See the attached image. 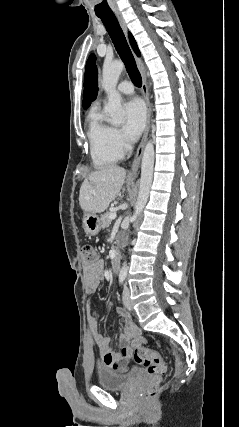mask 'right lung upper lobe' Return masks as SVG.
Masks as SVG:
<instances>
[{
	"label": "right lung upper lobe",
	"instance_id": "1",
	"mask_svg": "<svg viewBox=\"0 0 239 427\" xmlns=\"http://www.w3.org/2000/svg\"><path fill=\"white\" fill-rule=\"evenodd\" d=\"M129 40H130V43H131V46H132L133 50L139 56L140 53H139V49H138L137 43H136L134 37L131 35V33H129Z\"/></svg>",
	"mask_w": 239,
	"mask_h": 427
}]
</instances>
